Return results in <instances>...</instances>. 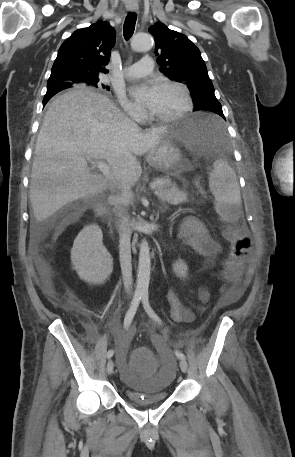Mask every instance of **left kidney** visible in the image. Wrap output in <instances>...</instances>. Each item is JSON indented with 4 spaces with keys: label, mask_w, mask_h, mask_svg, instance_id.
I'll use <instances>...</instances> for the list:
<instances>
[{
    "label": "left kidney",
    "mask_w": 295,
    "mask_h": 457,
    "mask_svg": "<svg viewBox=\"0 0 295 457\" xmlns=\"http://www.w3.org/2000/svg\"><path fill=\"white\" fill-rule=\"evenodd\" d=\"M187 270H188L187 265L182 260H179L173 264V271L179 277H186Z\"/></svg>",
    "instance_id": "5707ae66"
}]
</instances>
